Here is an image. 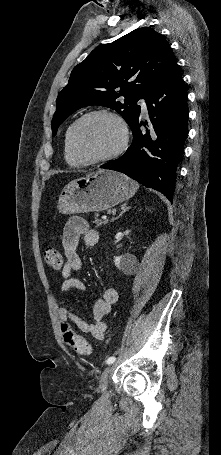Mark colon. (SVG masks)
I'll list each match as a JSON object with an SVG mask.
<instances>
[{"mask_svg": "<svg viewBox=\"0 0 221 455\" xmlns=\"http://www.w3.org/2000/svg\"><path fill=\"white\" fill-rule=\"evenodd\" d=\"M44 261L50 268L60 270L64 267V260L58 249L48 247L43 253ZM62 333L65 343L76 353L82 356H88L91 353L89 342L77 334L68 323H62Z\"/></svg>", "mask_w": 221, "mask_h": 455, "instance_id": "colon-1", "label": "colon"}]
</instances>
